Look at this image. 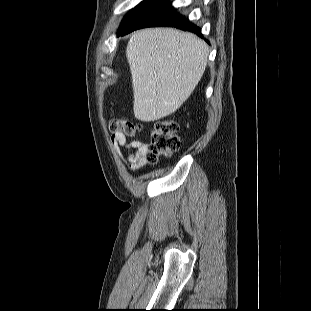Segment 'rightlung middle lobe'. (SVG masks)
<instances>
[{
	"label": "right lung middle lobe",
	"mask_w": 311,
	"mask_h": 311,
	"mask_svg": "<svg viewBox=\"0 0 311 311\" xmlns=\"http://www.w3.org/2000/svg\"><path fill=\"white\" fill-rule=\"evenodd\" d=\"M159 0H144L142 1L134 10L129 12L123 19L120 29H119V35L121 32H123L131 23L132 21L141 14L144 10L151 7L155 3H157Z\"/></svg>",
	"instance_id": "right-lung-middle-lobe-1"
}]
</instances>
